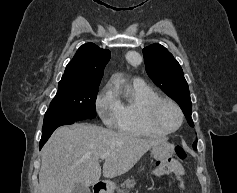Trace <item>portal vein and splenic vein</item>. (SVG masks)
<instances>
[{"label": "portal vein and splenic vein", "mask_w": 237, "mask_h": 193, "mask_svg": "<svg viewBox=\"0 0 237 193\" xmlns=\"http://www.w3.org/2000/svg\"><path fill=\"white\" fill-rule=\"evenodd\" d=\"M100 158H101L102 160H104V159L107 158V155H106V154H102V155L100 156Z\"/></svg>", "instance_id": "obj_1"}]
</instances>
